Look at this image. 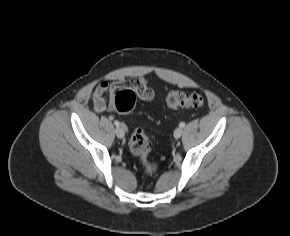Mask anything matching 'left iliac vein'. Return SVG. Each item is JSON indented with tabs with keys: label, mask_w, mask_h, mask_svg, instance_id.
<instances>
[{
	"label": "left iliac vein",
	"mask_w": 290,
	"mask_h": 236,
	"mask_svg": "<svg viewBox=\"0 0 290 236\" xmlns=\"http://www.w3.org/2000/svg\"><path fill=\"white\" fill-rule=\"evenodd\" d=\"M182 133H183L182 128H181V127H178V128H176L175 131H174V137H175L176 139H179V138L181 137Z\"/></svg>",
	"instance_id": "4c4485c4"
}]
</instances>
